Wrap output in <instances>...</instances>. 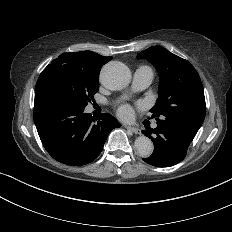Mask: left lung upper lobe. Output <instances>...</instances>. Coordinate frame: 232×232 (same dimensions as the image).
Returning a JSON list of instances; mask_svg holds the SVG:
<instances>
[{
    "label": "left lung upper lobe",
    "instance_id": "5c2ea615",
    "mask_svg": "<svg viewBox=\"0 0 232 232\" xmlns=\"http://www.w3.org/2000/svg\"><path fill=\"white\" fill-rule=\"evenodd\" d=\"M138 57L151 62L160 76L159 98L150 110L157 117V125L193 140L206 111L204 90L196 69L161 46L150 47Z\"/></svg>",
    "mask_w": 232,
    "mask_h": 232
}]
</instances>
